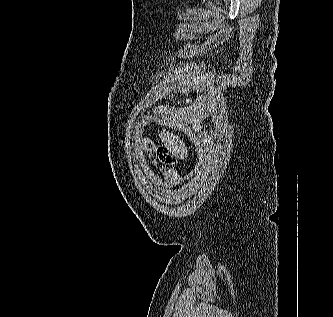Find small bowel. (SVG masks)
Segmentation results:
<instances>
[{
  "label": "small bowel",
  "instance_id": "obj_1",
  "mask_svg": "<svg viewBox=\"0 0 333 317\" xmlns=\"http://www.w3.org/2000/svg\"><path fill=\"white\" fill-rule=\"evenodd\" d=\"M146 147H147V143L144 139H140L137 141L136 146H135V151H134V157L140 165L142 162V154L145 151ZM165 185H166V187H171L173 185V180L171 177H166Z\"/></svg>",
  "mask_w": 333,
  "mask_h": 317
}]
</instances>
